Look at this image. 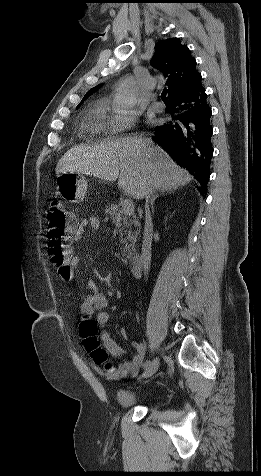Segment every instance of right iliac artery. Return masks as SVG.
<instances>
[{"instance_id": "obj_1", "label": "right iliac artery", "mask_w": 261, "mask_h": 476, "mask_svg": "<svg viewBox=\"0 0 261 476\" xmlns=\"http://www.w3.org/2000/svg\"><path fill=\"white\" fill-rule=\"evenodd\" d=\"M149 364H150V361H146V362L144 363V368H147V367L149 366Z\"/></svg>"}]
</instances>
